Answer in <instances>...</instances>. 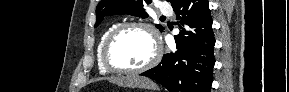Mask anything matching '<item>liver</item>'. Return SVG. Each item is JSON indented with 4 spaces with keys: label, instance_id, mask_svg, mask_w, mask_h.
Returning <instances> with one entry per match:
<instances>
[{
    "label": "liver",
    "instance_id": "liver-1",
    "mask_svg": "<svg viewBox=\"0 0 289 92\" xmlns=\"http://www.w3.org/2000/svg\"><path fill=\"white\" fill-rule=\"evenodd\" d=\"M116 83L120 85H127V86H142L146 87L150 85V81L147 79H117L115 80Z\"/></svg>",
    "mask_w": 289,
    "mask_h": 92
}]
</instances>
